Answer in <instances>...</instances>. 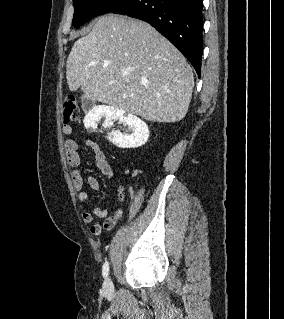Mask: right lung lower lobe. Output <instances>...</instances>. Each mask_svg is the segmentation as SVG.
Masks as SVG:
<instances>
[{
	"instance_id": "1",
	"label": "right lung lower lobe",
	"mask_w": 284,
	"mask_h": 319,
	"mask_svg": "<svg viewBox=\"0 0 284 319\" xmlns=\"http://www.w3.org/2000/svg\"><path fill=\"white\" fill-rule=\"evenodd\" d=\"M202 7V0H129L112 13L148 22L180 50L200 76Z\"/></svg>"
}]
</instances>
